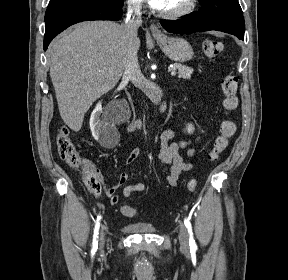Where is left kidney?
Here are the masks:
<instances>
[{
    "label": "left kidney",
    "instance_id": "5707ae66",
    "mask_svg": "<svg viewBox=\"0 0 288 280\" xmlns=\"http://www.w3.org/2000/svg\"><path fill=\"white\" fill-rule=\"evenodd\" d=\"M192 129H193L192 125L189 124L188 127H187V131L190 132V131H192Z\"/></svg>",
    "mask_w": 288,
    "mask_h": 280
}]
</instances>
